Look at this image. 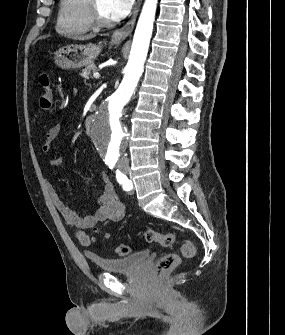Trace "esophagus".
Here are the masks:
<instances>
[{"instance_id": "1", "label": "esophagus", "mask_w": 285, "mask_h": 335, "mask_svg": "<svg viewBox=\"0 0 285 335\" xmlns=\"http://www.w3.org/2000/svg\"><path fill=\"white\" fill-rule=\"evenodd\" d=\"M138 2H139L138 8L135 10L131 19L123 27L118 28V30H115V32L113 33L112 37L114 39L122 40L126 38L132 32L134 25H135L136 18H137V13L139 10L141 0H138Z\"/></svg>"}]
</instances>
